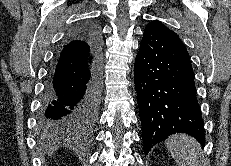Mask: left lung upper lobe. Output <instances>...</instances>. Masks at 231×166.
<instances>
[{
    "instance_id": "left-lung-upper-lobe-1",
    "label": "left lung upper lobe",
    "mask_w": 231,
    "mask_h": 166,
    "mask_svg": "<svg viewBox=\"0 0 231 166\" xmlns=\"http://www.w3.org/2000/svg\"><path fill=\"white\" fill-rule=\"evenodd\" d=\"M146 27L154 28L157 31L162 32L163 34L166 35L178 36L174 31L167 28L162 22L158 20H154L150 22Z\"/></svg>"
}]
</instances>
